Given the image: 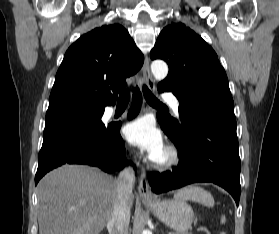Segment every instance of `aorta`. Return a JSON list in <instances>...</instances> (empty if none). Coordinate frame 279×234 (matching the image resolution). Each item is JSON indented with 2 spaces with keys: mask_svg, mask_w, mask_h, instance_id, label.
I'll list each match as a JSON object with an SVG mask.
<instances>
[{
  "mask_svg": "<svg viewBox=\"0 0 279 234\" xmlns=\"http://www.w3.org/2000/svg\"><path fill=\"white\" fill-rule=\"evenodd\" d=\"M151 72L156 80H163L168 74V66L162 60H155L151 64ZM142 234H152L148 230H144Z\"/></svg>",
  "mask_w": 279,
  "mask_h": 234,
  "instance_id": "762f6f07",
  "label": "aorta"
}]
</instances>
